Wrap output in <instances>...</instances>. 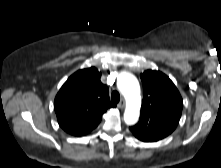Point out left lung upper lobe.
Here are the masks:
<instances>
[{"label":"left lung upper lobe","instance_id":"left-lung-upper-lobe-1","mask_svg":"<svg viewBox=\"0 0 221 168\" xmlns=\"http://www.w3.org/2000/svg\"><path fill=\"white\" fill-rule=\"evenodd\" d=\"M140 77L144 89L140 120L130 130L136 134L163 139L179 123L182 97L169 77L159 71L147 70Z\"/></svg>","mask_w":221,"mask_h":168}]
</instances>
